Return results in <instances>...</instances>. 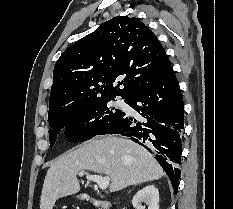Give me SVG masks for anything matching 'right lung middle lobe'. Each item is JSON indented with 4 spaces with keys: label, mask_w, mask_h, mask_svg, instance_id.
<instances>
[{
    "label": "right lung middle lobe",
    "mask_w": 233,
    "mask_h": 209,
    "mask_svg": "<svg viewBox=\"0 0 233 209\" xmlns=\"http://www.w3.org/2000/svg\"><path fill=\"white\" fill-rule=\"evenodd\" d=\"M114 98H104L93 102L66 106L48 114L50 147L57 139V134L65 127V137L71 143L84 142L99 135L124 114L111 107L109 102Z\"/></svg>",
    "instance_id": "1"
}]
</instances>
